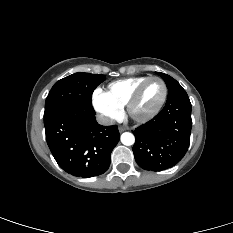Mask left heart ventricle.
Masks as SVG:
<instances>
[{"mask_svg": "<svg viewBox=\"0 0 233 233\" xmlns=\"http://www.w3.org/2000/svg\"><path fill=\"white\" fill-rule=\"evenodd\" d=\"M162 94L163 86L161 82L157 80L149 82L136 104L135 112L139 115L150 112L157 106L161 100Z\"/></svg>", "mask_w": 233, "mask_h": 233, "instance_id": "1", "label": "left heart ventricle"}]
</instances>
